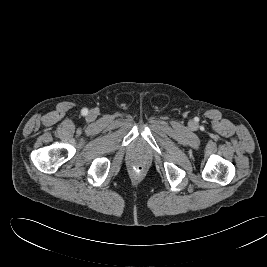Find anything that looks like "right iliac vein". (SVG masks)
Instances as JSON below:
<instances>
[{"instance_id": "right-iliac-vein-1", "label": "right iliac vein", "mask_w": 267, "mask_h": 267, "mask_svg": "<svg viewBox=\"0 0 267 267\" xmlns=\"http://www.w3.org/2000/svg\"><path fill=\"white\" fill-rule=\"evenodd\" d=\"M89 119H94L95 118V113L93 111H90L88 114Z\"/></svg>"}]
</instances>
